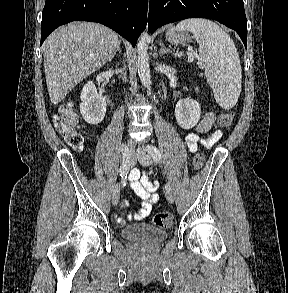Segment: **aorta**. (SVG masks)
I'll list each match as a JSON object with an SVG mask.
<instances>
[{
    "label": "aorta",
    "instance_id": "obj_1",
    "mask_svg": "<svg viewBox=\"0 0 288 293\" xmlns=\"http://www.w3.org/2000/svg\"><path fill=\"white\" fill-rule=\"evenodd\" d=\"M149 35L147 32H143L139 38L137 44V67L138 74L142 84L150 90L151 88V75L149 67V55L147 40Z\"/></svg>",
    "mask_w": 288,
    "mask_h": 293
}]
</instances>
